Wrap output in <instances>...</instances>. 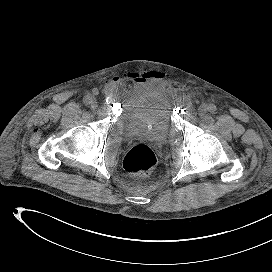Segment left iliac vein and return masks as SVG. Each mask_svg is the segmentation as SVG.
Returning a JSON list of instances; mask_svg holds the SVG:
<instances>
[{"mask_svg": "<svg viewBox=\"0 0 272 272\" xmlns=\"http://www.w3.org/2000/svg\"><path fill=\"white\" fill-rule=\"evenodd\" d=\"M208 111V106L206 104H202L199 108V114L200 116H203Z\"/></svg>", "mask_w": 272, "mask_h": 272, "instance_id": "left-iliac-vein-1", "label": "left iliac vein"}]
</instances>
